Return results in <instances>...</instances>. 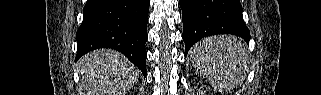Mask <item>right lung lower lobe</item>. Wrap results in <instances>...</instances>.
Instances as JSON below:
<instances>
[{
    "label": "right lung lower lobe",
    "instance_id": "obj_1",
    "mask_svg": "<svg viewBox=\"0 0 321 95\" xmlns=\"http://www.w3.org/2000/svg\"><path fill=\"white\" fill-rule=\"evenodd\" d=\"M148 10L149 0H87L76 34V60L92 50L111 48L146 76Z\"/></svg>",
    "mask_w": 321,
    "mask_h": 95
}]
</instances>
